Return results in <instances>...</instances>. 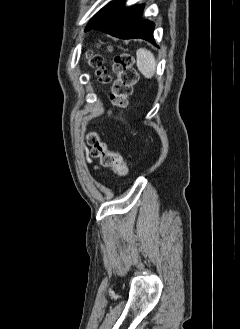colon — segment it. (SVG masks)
Here are the masks:
<instances>
[{
    "instance_id": "5ec220e1",
    "label": "colon",
    "mask_w": 240,
    "mask_h": 329,
    "mask_svg": "<svg viewBox=\"0 0 240 329\" xmlns=\"http://www.w3.org/2000/svg\"><path fill=\"white\" fill-rule=\"evenodd\" d=\"M87 57L89 63L97 69L99 81L102 83L108 82L109 77L103 69L102 57L91 52L87 53ZM132 63V57L127 53H120L115 57L114 71L117 78L112 84L111 101L116 107L127 105L133 85L137 80V72ZM86 142L90 146L91 156L100 159L103 166L112 168L120 176L128 174L129 167L123 156L118 151L109 149L96 132H90L87 135Z\"/></svg>"
}]
</instances>
